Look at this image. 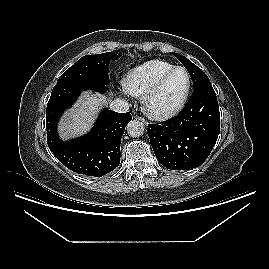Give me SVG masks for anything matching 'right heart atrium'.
I'll return each instance as SVG.
<instances>
[{"mask_svg":"<svg viewBox=\"0 0 269 269\" xmlns=\"http://www.w3.org/2000/svg\"><path fill=\"white\" fill-rule=\"evenodd\" d=\"M123 94L127 97H131L133 96L130 92H128L124 87H123V90H122Z\"/></svg>","mask_w":269,"mask_h":269,"instance_id":"right-heart-atrium-1","label":"right heart atrium"}]
</instances>
